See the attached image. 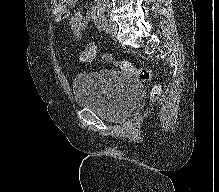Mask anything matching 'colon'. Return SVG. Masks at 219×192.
I'll return each mask as SVG.
<instances>
[{
    "instance_id": "5ec220e1",
    "label": "colon",
    "mask_w": 219,
    "mask_h": 192,
    "mask_svg": "<svg viewBox=\"0 0 219 192\" xmlns=\"http://www.w3.org/2000/svg\"><path fill=\"white\" fill-rule=\"evenodd\" d=\"M97 57V48L94 43H89L85 46V48L81 52V60L83 62H92L96 59ZM118 66L121 70L124 72L131 74L138 78L141 81H148L152 78V71L147 68H137L134 66L132 63L126 61V60H121L118 61ZM163 91V86L162 84H156L152 87L151 89V99L156 100L157 98L160 97Z\"/></svg>"
}]
</instances>
